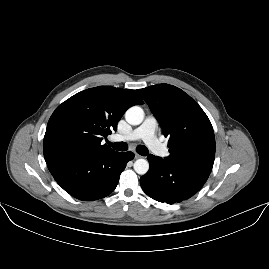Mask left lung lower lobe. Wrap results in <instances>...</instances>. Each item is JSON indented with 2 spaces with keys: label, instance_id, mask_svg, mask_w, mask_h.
<instances>
[{
  "label": "left lung lower lobe",
  "instance_id": "0a47b994",
  "mask_svg": "<svg viewBox=\"0 0 269 269\" xmlns=\"http://www.w3.org/2000/svg\"><path fill=\"white\" fill-rule=\"evenodd\" d=\"M150 170L141 177L140 184L151 198L174 204L197 193L209 174L170 163L158 156L149 155Z\"/></svg>",
  "mask_w": 269,
  "mask_h": 269
}]
</instances>
